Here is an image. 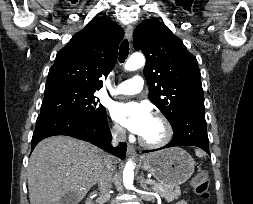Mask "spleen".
I'll return each instance as SVG.
<instances>
[{
	"instance_id": "3e777b00",
	"label": "spleen",
	"mask_w": 253,
	"mask_h": 204,
	"mask_svg": "<svg viewBox=\"0 0 253 204\" xmlns=\"http://www.w3.org/2000/svg\"><path fill=\"white\" fill-rule=\"evenodd\" d=\"M196 155L198 157H204L205 156V154L203 152L199 151V150H196Z\"/></svg>"
}]
</instances>
